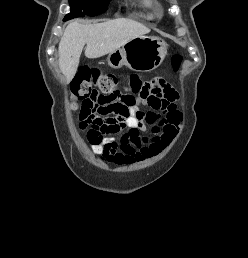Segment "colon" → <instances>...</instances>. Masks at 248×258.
Instances as JSON below:
<instances>
[{
	"label": "colon",
	"mask_w": 248,
	"mask_h": 258,
	"mask_svg": "<svg viewBox=\"0 0 248 258\" xmlns=\"http://www.w3.org/2000/svg\"><path fill=\"white\" fill-rule=\"evenodd\" d=\"M182 63V56L175 53L171 57V67L177 71ZM97 77L96 72L84 68L76 80L71 92L73 107L82 103V109L86 112L88 122L87 132L89 141H100L105 133L122 128L129 120V111L120 104H111L115 98L117 78L113 75H104L98 78V89L91 85L90 76ZM155 88L153 87L152 90ZM130 91L134 94L141 93L140 81L133 76L130 82ZM114 114L116 117H107Z\"/></svg>",
	"instance_id": "1"
}]
</instances>
